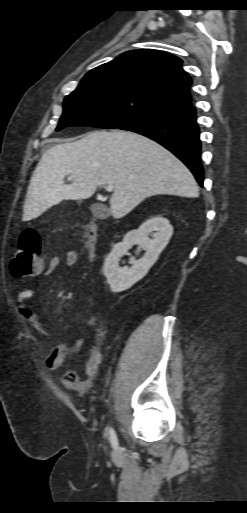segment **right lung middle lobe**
Masks as SVG:
<instances>
[{
  "mask_svg": "<svg viewBox=\"0 0 247 513\" xmlns=\"http://www.w3.org/2000/svg\"><path fill=\"white\" fill-rule=\"evenodd\" d=\"M63 108L57 131L67 126L119 128L168 110L142 94L118 88H77L65 98Z\"/></svg>",
  "mask_w": 247,
  "mask_h": 513,
  "instance_id": "dd1d6c3e",
  "label": "right lung middle lobe"
}]
</instances>
